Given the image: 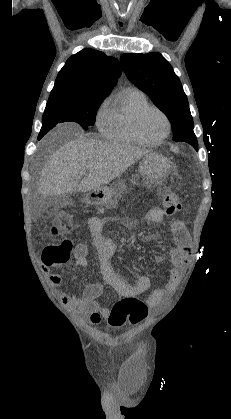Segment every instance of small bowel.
<instances>
[{
  "instance_id": "c3829d8e",
  "label": "small bowel",
  "mask_w": 231,
  "mask_h": 419,
  "mask_svg": "<svg viewBox=\"0 0 231 419\" xmlns=\"http://www.w3.org/2000/svg\"><path fill=\"white\" fill-rule=\"evenodd\" d=\"M163 219V212L159 208L150 209L145 221L149 224H159ZM104 220L97 217L88 219V226L92 237V245L95 248L99 260L100 271L103 277V283L87 284L82 291L81 296L64 293L61 301L64 306L74 311L90 316L92 323H98L101 317L107 319L110 309L102 307L97 298L102 294L104 285L112 287L120 297H136L151 289L150 294L144 300L147 307V313L150 309L157 308L165 296L169 294L178 280L180 269L186 264L189 252L191 251V241L188 231L182 221H176L171 231L174 235L175 247L171 251L170 261L172 268L169 270L170 281L165 287L152 288L151 281L146 275H139L135 278H126L119 274L111 263L112 255L116 250L115 241L111 237L102 235ZM153 236H146V241H151ZM88 246L78 244L73 251L74 264L78 267L88 265ZM49 269V266H47ZM48 280L53 286H61L63 278L59 274H49Z\"/></svg>"
}]
</instances>
